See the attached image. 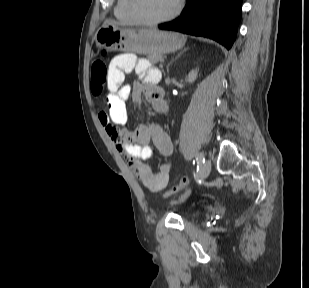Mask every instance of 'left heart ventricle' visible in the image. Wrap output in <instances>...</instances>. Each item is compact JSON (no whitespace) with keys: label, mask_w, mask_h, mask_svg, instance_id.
<instances>
[{"label":"left heart ventricle","mask_w":309,"mask_h":288,"mask_svg":"<svg viewBox=\"0 0 309 288\" xmlns=\"http://www.w3.org/2000/svg\"><path fill=\"white\" fill-rule=\"evenodd\" d=\"M177 0H138V11L146 19L162 18L173 11Z\"/></svg>","instance_id":"left-heart-ventricle-1"}]
</instances>
